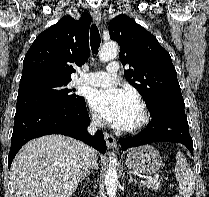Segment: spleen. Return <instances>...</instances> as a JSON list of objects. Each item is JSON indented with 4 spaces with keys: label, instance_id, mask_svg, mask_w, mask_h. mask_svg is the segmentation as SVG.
<instances>
[{
    "label": "spleen",
    "instance_id": "obj_1",
    "mask_svg": "<svg viewBox=\"0 0 209 197\" xmlns=\"http://www.w3.org/2000/svg\"><path fill=\"white\" fill-rule=\"evenodd\" d=\"M175 172L176 180L179 183V193L183 197H190L195 190V176L181 152L176 155Z\"/></svg>",
    "mask_w": 209,
    "mask_h": 197
}]
</instances>
